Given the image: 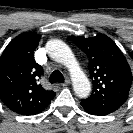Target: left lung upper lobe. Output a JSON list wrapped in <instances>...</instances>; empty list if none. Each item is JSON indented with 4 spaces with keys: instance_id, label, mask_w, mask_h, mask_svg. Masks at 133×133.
I'll return each instance as SVG.
<instances>
[{
    "instance_id": "1",
    "label": "left lung upper lobe",
    "mask_w": 133,
    "mask_h": 133,
    "mask_svg": "<svg viewBox=\"0 0 133 133\" xmlns=\"http://www.w3.org/2000/svg\"><path fill=\"white\" fill-rule=\"evenodd\" d=\"M72 40L88 56L93 81L91 96L81 102L95 109L116 111L127 100L132 84V72L121 50L104 34Z\"/></svg>"
}]
</instances>
